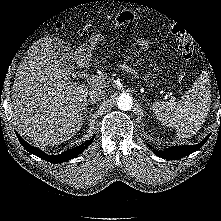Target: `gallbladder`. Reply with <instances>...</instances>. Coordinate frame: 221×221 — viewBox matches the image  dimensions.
Returning a JSON list of instances; mask_svg holds the SVG:
<instances>
[{
	"label": "gallbladder",
	"instance_id": "bac80fb5",
	"mask_svg": "<svg viewBox=\"0 0 221 221\" xmlns=\"http://www.w3.org/2000/svg\"><path fill=\"white\" fill-rule=\"evenodd\" d=\"M51 48L57 60L68 73L75 71L73 51L62 39L54 37L51 39Z\"/></svg>",
	"mask_w": 221,
	"mask_h": 221
}]
</instances>
